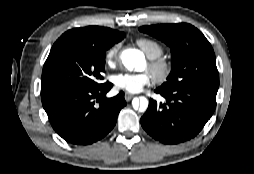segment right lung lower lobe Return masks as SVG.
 I'll return each instance as SVG.
<instances>
[{"instance_id":"obj_1","label":"right lung lower lobe","mask_w":254,"mask_h":174,"mask_svg":"<svg viewBox=\"0 0 254 174\" xmlns=\"http://www.w3.org/2000/svg\"><path fill=\"white\" fill-rule=\"evenodd\" d=\"M112 86L106 82L96 88L42 96V105L53 129L65 141L75 145H89L105 137L126 105L123 92L113 98L106 97Z\"/></svg>"}]
</instances>
